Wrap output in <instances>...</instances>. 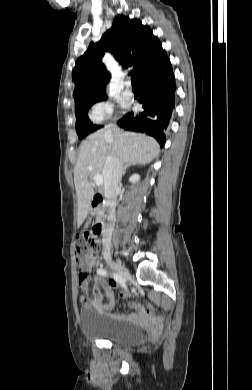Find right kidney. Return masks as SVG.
I'll return each instance as SVG.
<instances>
[{"instance_id": "1", "label": "right kidney", "mask_w": 252, "mask_h": 390, "mask_svg": "<svg viewBox=\"0 0 252 390\" xmlns=\"http://www.w3.org/2000/svg\"><path fill=\"white\" fill-rule=\"evenodd\" d=\"M140 179V176L138 174H133L130 178H129V181L134 183V182H137L139 181Z\"/></svg>"}]
</instances>
